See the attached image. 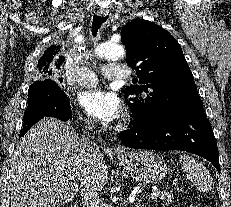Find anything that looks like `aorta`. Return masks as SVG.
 Listing matches in <instances>:
<instances>
[{
    "label": "aorta",
    "mask_w": 231,
    "mask_h": 207,
    "mask_svg": "<svg viewBox=\"0 0 231 207\" xmlns=\"http://www.w3.org/2000/svg\"><path fill=\"white\" fill-rule=\"evenodd\" d=\"M94 53L99 58L117 60L125 56V48L120 44L106 42L98 44Z\"/></svg>",
    "instance_id": "aorta-1"
}]
</instances>
